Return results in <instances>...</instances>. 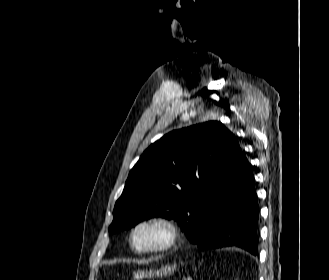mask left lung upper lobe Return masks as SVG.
Masks as SVG:
<instances>
[{
  "instance_id": "left-lung-upper-lobe-1",
  "label": "left lung upper lobe",
  "mask_w": 329,
  "mask_h": 280,
  "mask_svg": "<svg viewBox=\"0 0 329 280\" xmlns=\"http://www.w3.org/2000/svg\"><path fill=\"white\" fill-rule=\"evenodd\" d=\"M240 150L236 137L217 121L164 135L130 171L109 233L154 216L195 229L202 203L232 181L231 161Z\"/></svg>"
}]
</instances>
